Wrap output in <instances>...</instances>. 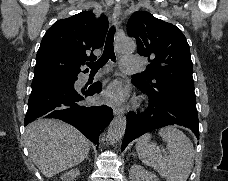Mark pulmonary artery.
I'll list each match as a JSON object with an SVG mask.
<instances>
[{
  "mask_svg": "<svg viewBox=\"0 0 228 181\" xmlns=\"http://www.w3.org/2000/svg\"><path fill=\"white\" fill-rule=\"evenodd\" d=\"M138 62H143V57H121L120 71H136Z\"/></svg>",
  "mask_w": 228,
  "mask_h": 181,
  "instance_id": "1",
  "label": "pulmonary artery"
}]
</instances>
